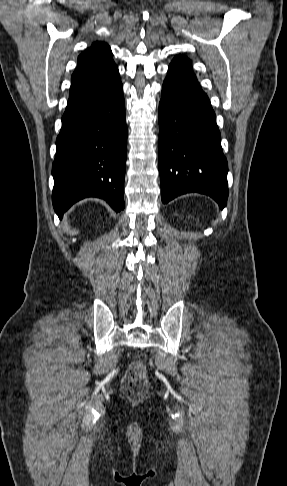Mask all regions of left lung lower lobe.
<instances>
[{"label":"left lung lower lobe","instance_id":"left-lung-lower-lobe-1","mask_svg":"<svg viewBox=\"0 0 287 486\" xmlns=\"http://www.w3.org/2000/svg\"><path fill=\"white\" fill-rule=\"evenodd\" d=\"M161 198L199 192L223 209L227 204V160L216 115L192 65L175 57L168 68L159 103Z\"/></svg>","mask_w":287,"mask_h":486}]
</instances>
